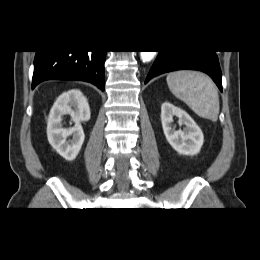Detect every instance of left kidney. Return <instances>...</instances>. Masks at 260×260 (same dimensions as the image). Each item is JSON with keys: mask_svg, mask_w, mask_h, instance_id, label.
<instances>
[{"mask_svg": "<svg viewBox=\"0 0 260 260\" xmlns=\"http://www.w3.org/2000/svg\"><path fill=\"white\" fill-rule=\"evenodd\" d=\"M173 116L179 119V126H185L183 130L175 129ZM161 122L166 140L175 151L179 154L190 156L200 152L204 142L203 133L184 110L169 102H164L161 106Z\"/></svg>", "mask_w": 260, "mask_h": 260, "instance_id": "1", "label": "left kidney"}]
</instances>
